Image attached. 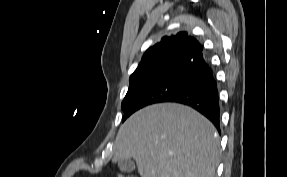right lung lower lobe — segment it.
Masks as SVG:
<instances>
[{
    "instance_id": "obj_1",
    "label": "right lung lower lobe",
    "mask_w": 287,
    "mask_h": 177,
    "mask_svg": "<svg viewBox=\"0 0 287 177\" xmlns=\"http://www.w3.org/2000/svg\"><path fill=\"white\" fill-rule=\"evenodd\" d=\"M159 102L188 105L207 117L220 132V107L217 82L202 52L182 62L154 82L130 105L125 114Z\"/></svg>"
}]
</instances>
